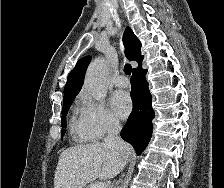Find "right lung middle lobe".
Here are the masks:
<instances>
[{"label": "right lung middle lobe", "instance_id": "right-lung-middle-lobe-1", "mask_svg": "<svg viewBox=\"0 0 224 188\" xmlns=\"http://www.w3.org/2000/svg\"><path fill=\"white\" fill-rule=\"evenodd\" d=\"M74 98H75V96L70 97V98H68V99L63 101V108H62L63 116L61 117V126L62 127H66V117L65 116L67 115V112H68V110H69V108H70ZM61 134L62 135L65 134V130L64 129H62Z\"/></svg>", "mask_w": 224, "mask_h": 188}]
</instances>
